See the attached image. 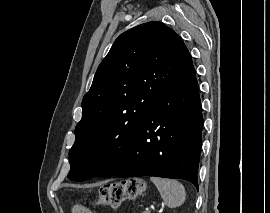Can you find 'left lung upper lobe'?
<instances>
[{
	"mask_svg": "<svg viewBox=\"0 0 270 213\" xmlns=\"http://www.w3.org/2000/svg\"><path fill=\"white\" fill-rule=\"evenodd\" d=\"M192 65L180 36L161 22L144 23L121 34L83 97L67 177L91 178L93 166L127 142L177 75Z\"/></svg>",
	"mask_w": 270,
	"mask_h": 213,
	"instance_id": "obj_1",
	"label": "left lung upper lobe"
}]
</instances>
